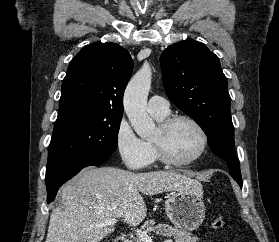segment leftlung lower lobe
Masks as SVG:
<instances>
[{
  "mask_svg": "<svg viewBox=\"0 0 279 242\" xmlns=\"http://www.w3.org/2000/svg\"><path fill=\"white\" fill-rule=\"evenodd\" d=\"M239 185H240V187L242 188V182H237Z\"/></svg>",
  "mask_w": 279,
  "mask_h": 242,
  "instance_id": "1",
  "label": "left lung lower lobe"
}]
</instances>
